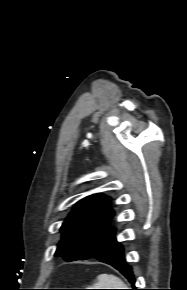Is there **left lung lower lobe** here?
Wrapping results in <instances>:
<instances>
[{"mask_svg":"<svg viewBox=\"0 0 187 290\" xmlns=\"http://www.w3.org/2000/svg\"><path fill=\"white\" fill-rule=\"evenodd\" d=\"M91 258L107 263L120 271L134 286L135 279L131 266L125 262L124 250L121 244L117 243L115 233L106 244ZM135 288V287H134ZM136 290V289H134Z\"/></svg>","mask_w":187,"mask_h":290,"instance_id":"obj_1","label":"left lung lower lobe"}]
</instances>
